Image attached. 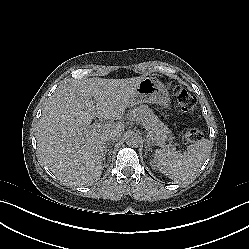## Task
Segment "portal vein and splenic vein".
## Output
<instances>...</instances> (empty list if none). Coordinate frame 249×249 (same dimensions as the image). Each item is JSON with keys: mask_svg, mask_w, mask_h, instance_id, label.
Instances as JSON below:
<instances>
[{"mask_svg": "<svg viewBox=\"0 0 249 249\" xmlns=\"http://www.w3.org/2000/svg\"><path fill=\"white\" fill-rule=\"evenodd\" d=\"M94 126H96V127H100V124L99 123H97L96 125H94Z\"/></svg>", "mask_w": 249, "mask_h": 249, "instance_id": "1", "label": "portal vein and splenic vein"}]
</instances>
